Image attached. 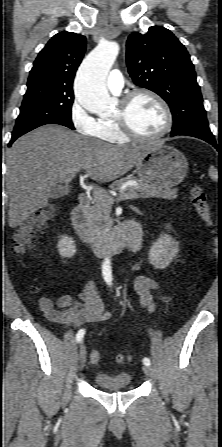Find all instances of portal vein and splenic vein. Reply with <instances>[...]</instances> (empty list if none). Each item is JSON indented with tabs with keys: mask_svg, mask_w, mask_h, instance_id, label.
Instances as JSON below:
<instances>
[{
	"mask_svg": "<svg viewBox=\"0 0 222 447\" xmlns=\"http://www.w3.org/2000/svg\"><path fill=\"white\" fill-rule=\"evenodd\" d=\"M126 185L138 186V183H136L134 181H129V182L126 183ZM102 191L103 190L96 188V189L93 190V193L96 194V195H101ZM133 198H135V196L133 194H131V193H124V194L120 195L119 198H117V201L128 200V199H133ZM109 201L110 202H114V199L113 198H109Z\"/></svg>",
	"mask_w": 222,
	"mask_h": 447,
	"instance_id": "obj_1",
	"label": "portal vein and splenic vein"
}]
</instances>
